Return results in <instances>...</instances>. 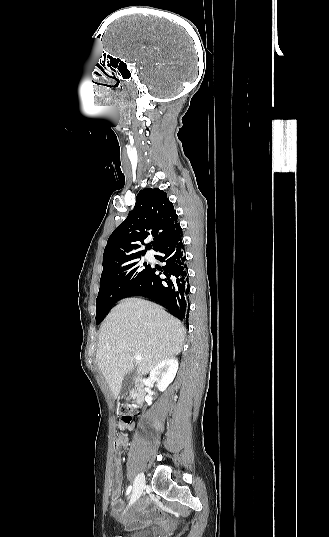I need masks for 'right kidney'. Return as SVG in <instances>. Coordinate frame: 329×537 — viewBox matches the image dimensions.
<instances>
[{
    "label": "right kidney",
    "instance_id": "ca27d5eb",
    "mask_svg": "<svg viewBox=\"0 0 329 537\" xmlns=\"http://www.w3.org/2000/svg\"><path fill=\"white\" fill-rule=\"evenodd\" d=\"M178 370V361L176 358H170L158 363L150 372V379L157 383L160 391H165L168 385L173 381ZM152 396L149 394L145 397L148 405L152 404Z\"/></svg>",
    "mask_w": 329,
    "mask_h": 537
}]
</instances>
